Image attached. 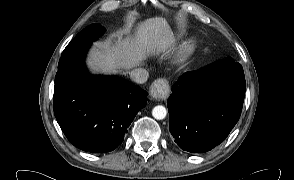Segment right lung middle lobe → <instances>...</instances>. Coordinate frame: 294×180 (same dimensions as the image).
Instances as JSON below:
<instances>
[{
	"label": "right lung middle lobe",
	"mask_w": 294,
	"mask_h": 180,
	"mask_svg": "<svg viewBox=\"0 0 294 180\" xmlns=\"http://www.w3.org/2000/svg\"><path fill=\"white\" fill-rule=\"evenodd\" d=\"M105 29L100 24H92L83 29L64 49L63 53L71 50L89 46L99 36L103 34Z\"/></svg>",
	"instance_id": "obj_1"
}]
</instances>
